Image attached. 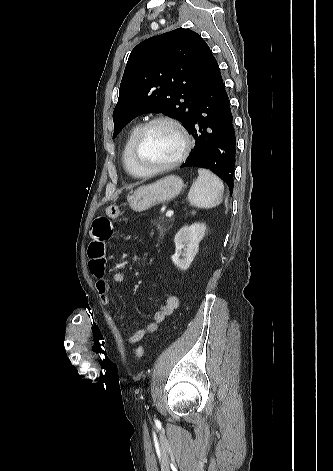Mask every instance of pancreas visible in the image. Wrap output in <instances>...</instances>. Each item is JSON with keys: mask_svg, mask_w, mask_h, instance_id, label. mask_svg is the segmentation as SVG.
I'll use <instances>...</instances> for the list:
<instances>
[{"mask_svg": "<svg viewBox=\"0 0 333 471\" xmlns=\"http://www.w3.org/2000/svg\"><path fill=\"white\" fill-rule=\"evenodd\" d=\"M171 222L172 221H166L164 220L163 217H160L156 222V227H157L158 232L161 235H163L166 231H168L172 227Z\"/></svg>", "mask_w": 333, "mask_h": 471, "instance_id": "obj_1", "label": "pancreas"}]
</instances>
